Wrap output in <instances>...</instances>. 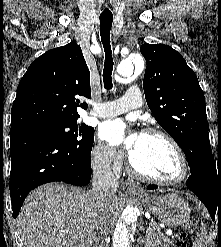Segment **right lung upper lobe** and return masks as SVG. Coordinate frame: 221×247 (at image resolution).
<instances>
[{"label":"right lung upper lobe","mask_w":221,"mask_h":247,"mask_svg":"<svg viewBox=\"0 0 221 247\" xmlns=\"http://www.w3.org/2000/svg\"><path fill=\"white\" fill-rule=\"evenodd\" d=\"M78 96L91 97L90 72L75 42L47 51L24 74L11 111V129L77 121Z\"/></svg>","instance_id":"obj_1"}]
</instances>
